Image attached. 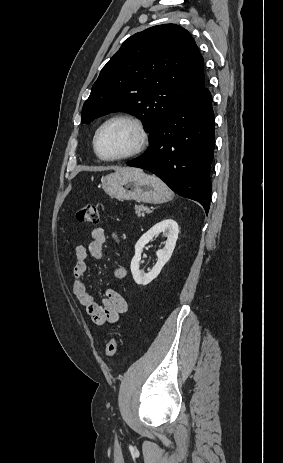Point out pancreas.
I'll list each match as a JSON object with an SVG mask.
<instances>
[{"label":"pancreas","instance_id":"cf45deb5","mask_svg":"<svg viewBox=\"0 0 283 463\" xmlns=\"http://www.w3.org/2000/svg\"><path fill=\"white\" fill-rule=\"evenodd\" d=\"M134 210L136 211V214L138 217H144L145 213H150L151 211L147 206L144 205H136L134 207Z\"/></svg>","mask_w":283,"mask_h":463}]
</instances>
